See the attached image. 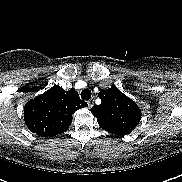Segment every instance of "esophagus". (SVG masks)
<instances>
[{
    "instance_id": "obj_1",
    "label": "esophagus",
    "mask_w": 182,
    "mask_h": 182,
    "mask_svg": "<svg viewBox=\"0 0 182 182\" xmlns=\"http://www.w3.org/2000/svg\"><path fill=\"white\" fill-rule=\"evenodd\" d=\"M87 103L89 108H91L94 105V98L89 99Z\"/></svg>"
}]
</instances>
